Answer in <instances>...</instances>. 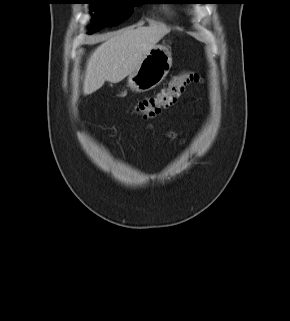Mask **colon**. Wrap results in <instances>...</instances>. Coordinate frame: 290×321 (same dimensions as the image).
<instances>
[{"label":"colon","mask_w":290,"mask_h":321,"mask_svg":"<svg viewBox=\"0 0 290 321\" xmlns=\"http://www.w3.org/2000/svg\"><path fill=\"white\" fill-rule=\"evenodd\" d=\"M199 81L200 77L197 73L185 71L175 77L171 83L157 95L143 99L137 103L133 111L144 118L155 117L163 109L174 105L186 86Z\"/></svg>","instance_id":"colon-1"}]
</instances>
